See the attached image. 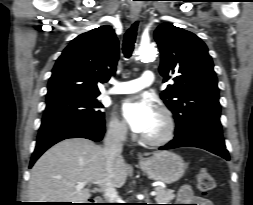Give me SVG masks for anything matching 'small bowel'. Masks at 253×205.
Masks as SVG:
<instances>
[{"instance_id":"1","label":"small bowel","mask_w":253,"mask_h":205,"mask_svg":"<svg viewBox=\"0 0 253 205\" xmlns=\"http://www.w3.org/2000/svg\"><path fill=\"white\" fill-rule=\"evenodd\" d=\"M179 201L183 203H194V204H183V205H213L208 199L195 196L190 188L185 187L179 193Z\"/></svg>"}]
</instances>
